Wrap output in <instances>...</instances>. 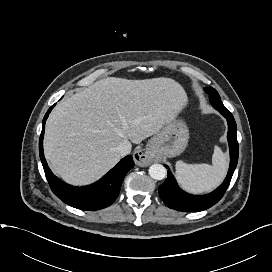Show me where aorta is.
Returning a JSON list of instances; mask_svg holds the SVG:
<instances>
[{
    "label": "aorta",
    "instance_id": "aorta-1",
    "mask_svg": "<svg viewBox=\"0 0 272 272\" xmlns=\"http://www.w3.org/2000/svg\"><path fill=\"white\" fill-rule=\"evenodd\" d=\"M149 175L155 180H163L167 175L166 168L161 164H153L149 167Z\"/></svg>",
    "mask_w": 272,
    "mask_h": 272
}]
</instances>
